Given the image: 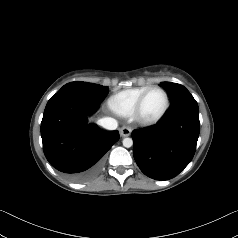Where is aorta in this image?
<instances>
[{
	"label": "aorta",
	"instance_id": "762f6f07",
	"mask_svg": "<svg viewBox=\"0 0 238 238\" xmlns=\"http://www.w3.org/2000/svg\"><path fill=\"white\" fill-rule=\"evenodd\" d=\"M133 145V140L131 138H124L123 139V146L129 148Z\"/></svg>",
	"mask_w": 238,
	"mask_h": 238
}]
</instances>
